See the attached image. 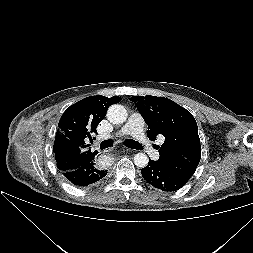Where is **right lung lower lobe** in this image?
<instances>
[{
  "label": "right lung lower lobe",
  "instance_id": "right-lung-lower-lobe-1",
  "mask_svg": "<svg viewBox=\"0 0 253 253\" xmlns=\"http://www.w3.org/2000/svg\"><path fill=\"white\" fill-rule=\"evenodd\" d=\"M63 174L72 184L84 187L101 180L106 176L107 171L98 169L93 160L75 170L63 172Z\"/></svg>",
  "mask_w": 253,
  "mask_h": 253
}]
</instances>
